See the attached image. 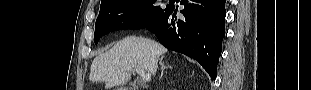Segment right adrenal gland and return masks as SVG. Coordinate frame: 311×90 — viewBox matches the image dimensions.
<instances>
[{"label": "right adrenal gland", "instance_id": "2a0ac1e0", "mask_svg": "<svg viewBox=\"0 0 311 90\" xmlns=\"http://www.w3.org/2000/svg\"><path fill=\"white\" fill-rule=\"evenodd\" d=\"M160 65H161V75H160V79H161L163 76L164 70L167 68H171V66H166L162 60H160Z\"/></svg>", "mask_w": 311, "mask_h": 90}]
</instances>
